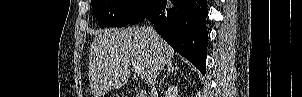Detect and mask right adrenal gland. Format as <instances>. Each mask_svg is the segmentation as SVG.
Wrapping results in <instances>:
<instances>
[{
	"label": "right adrenal gland",
	"mask_w": 302,
	"mask_h": 97,
	"mask_svg": "<svg viewBox=\"0 0 302 97\" xmlns=\"http://www.w3.org/2000/svg\"><path fill=\"white\" fill-rule=\"evenodd\" d=\"M179 69V67L177 65H173L172 63H169L167 65V72L166 74L163 76V78L161 79L160 83H159V87L162 86L164 80L166 79V77L172 72H176Z\"/></svg>",
	"instance_id": "obj_1"
}]
</instances>
